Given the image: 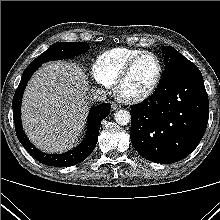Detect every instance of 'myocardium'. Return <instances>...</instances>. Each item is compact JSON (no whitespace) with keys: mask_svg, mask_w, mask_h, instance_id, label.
<instances>
[{"mask_svg":"<svg viewBox=\"0 0 220 220\" xmlns=\"http://www.w3.org/2000/svg\"><path fill=\"white\" fill-rule=\"evenodd\" d=\"M152 56L156 62H157V73H156V77L153 81V83L150 85V87L145 90L144 92L137 94V95H132V96H128V95H124L121 91L122 85L124 83V81L126 80V78L129 76L132 68L134 67V65L136 64V62L142 58L143 56ZM162 73H163V65H162V61L160 59V57L155 54L154 52L151 51H142L140 53H138L137 55H135L134 57H132L128 63L125 65V67L122 69V71L120 72V74L118 75L114 86H115V92L117 94V96L124 102L127 103H138L141 102L145 99H147L148 97H150L154 91L156 90V88L158 87L161 77H162Z\"/></svg>","mask_w":220,"mask_h":220,"instance_id":"myocardium-1","label":"myocardium"}]
</instances>
